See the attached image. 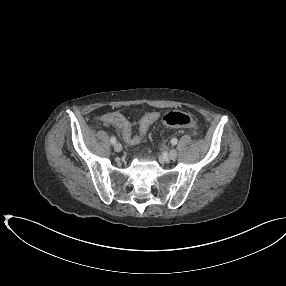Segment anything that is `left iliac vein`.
Instances as JSON below:
<instances>
[{"mask_svg": "<svg viewBox=\"0 0 286 286\" xmlns=\"http://www.w3.org/2000/svg\"><path fill=\"white\" fill-rule=\"evenodd\" d=\"M177 150L176 149H171L168 153V158L170 160H174L177 157Z\"/></svg>", "mask_w": 286, "mask_h": 286, "instance_id": "left-iliac-vein-1", "label": "left iliac vein"}]
</instances>
